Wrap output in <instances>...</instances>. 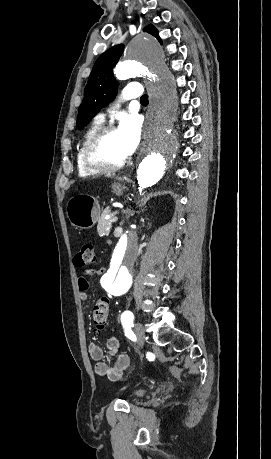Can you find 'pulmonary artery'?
<instances>
[{"label": "pulmonary artery", "mask_w": 271, "mask_h": 459, "mask_svg": "<svg viewBox=\"0 0 271 459\" xmlns=\"http://www.w3.org/2000/svg\"><path fill=\"white\" fill-rule=\"evenodd\" d=\"M140 88V83L138 81H129L127 83V89L122 90L120 92V95L116 96V103L117 104H126L127 103V98H141L143 95V92ZM118 108V106H113L111 107L108 112H113ZM105 116L106 113H101L99 114L96 119L99 122H104L105 121Z\"/></svg>", "instance_id": "1"}]
</instances>
